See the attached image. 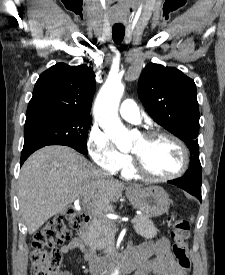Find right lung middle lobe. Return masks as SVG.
Masks as SVG:
<instances>
[{
	"label": "right lung middle lobe",
	"mask_w": 225,
	"mask_h": 275,
	"mask_svg": "<svg viewBox=\"0 0 225 275\" xmlns=\"http://www.w3.org/2000/svg\"><path fill=\"white\" fill-rule=\"evenodd\" d=\"M89 115L39 114L26 117L24 146L66 145L87 154Z\"/></svg>",
	"instance_id": "right-lung-middle-lobe-1"
}]
</instances>
